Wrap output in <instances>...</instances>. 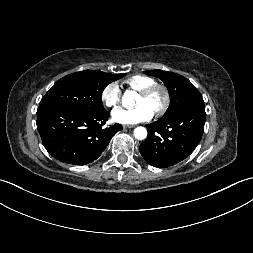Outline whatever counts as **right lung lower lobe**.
<instances>
[{
	"label": "right lung lower lobe",
	"mask_w": 253,
	"mask_h": 253,
	"mask_svg": "<svg viewBox=\"0 0 253 253\" xmlns=\"http://www.w3.org/2000/svg\"><path fill=\"white\" fill-rule=\"evenodd\" d=\"M103 110H84L39 106L37 129L46 150L57 160L73 165H85L96 160L112 136L122 130L120 124L103 127L109 118Z\"/></svg>",
	"instance_id": "1"
}]
</instances>
